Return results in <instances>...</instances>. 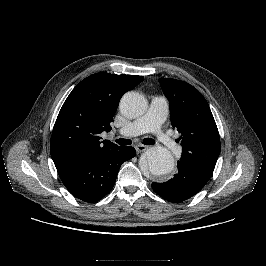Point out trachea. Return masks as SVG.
Returning a JSON list of instances; mask_svg holds the SVG:
<instances>
[{"label":"trachea","instance_id":"3493384b","mask_svg":"<svg viewBox=\"0 0 266 266\" xmlns=\"http://www.w3.org/2000/svg\"><path fill=\"white\" fill-rule=\"evenodd\" d=\"M116 142L121 146L130 145L132 143L130 139H123V138L116 139ZM143 144L153 145L155 144V141L152 138H145L143 140Z\"/></svg>","mask_w":266,"mask_h":266}]
</instances>
